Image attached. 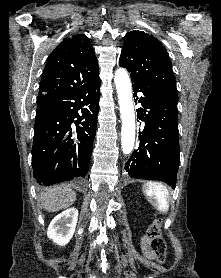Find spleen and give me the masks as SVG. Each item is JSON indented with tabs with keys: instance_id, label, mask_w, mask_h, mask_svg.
<instances>
[{
	"instance_id": "1",
	"label": "spleen",
	"mask_w": 221,
	"mask_h": 278,
	"mask_svg": "<svg viewBox=\"0 0 221 278\" xmlns=\"http://www.w3.org/2000/svg\"><path fill=\"white\" fill-rule=\"evenodd\" d=\"M143 191L147 196L149 202L161 213H166L169 210L168 190L167 188L157 182H147Z\"/></svg>"
}]
</instances>
